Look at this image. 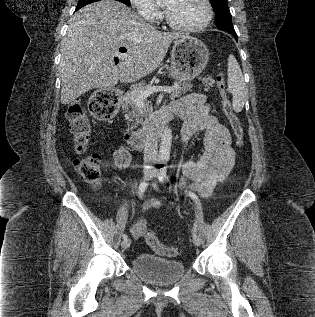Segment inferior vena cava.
<instances>
[{"label": "inferior vena cava", "mask_w": 315, "mask_h": 317, "mask_svg": "<svg viewBox=\"0 0 315 317\" xmlns=\"http://www.w3.org/2000/svg\"><path fill=\"white\" fill-rule=\"evenodd\" d=\"M158 157V141L155 136L154 130L147 128L146 139L144 144V162L148 164V171H153V163L157 161Z\"/></svg>", "instance_id": "602c4592"}]
</instances>
